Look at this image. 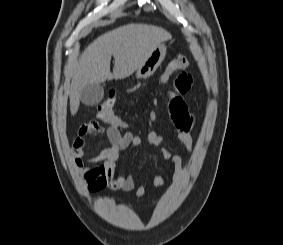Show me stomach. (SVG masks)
<instances>
[{
	"instance_id": "1",
	"label": "stomach",
	"mask_w": 283,
	"mask_h": 245,
	"mask_svg": "<svg viewBox=\"0 0 283 245\" xmlns=\"http://www.w3.org/2000/svg\"><path fill=\"white\" fill-rule=\"evenodd\" d=\"M166 55V46L159 44L145 60V62L136 69V77L146 79L154 74L157 68L161 65Z\"/></svg>"
}]
</instances>
